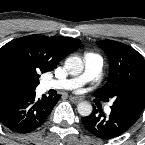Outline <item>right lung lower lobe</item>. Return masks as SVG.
I'll use <instances>...</instances> for the list:
<instances>
[{
    "label": "right lung lower lobe",
    "mask_w": 145,
    "mask_h": 145,
    "mask_svg": "<svg viewBox=\"0 0 145 145\" xmlns=\"http://www.w3.org/2000/svg\"><path fill=\"white\" fill-rule=\"evenodd\" d=\"M59 98L43 95L36 101L31 93L0 99V121L14 132H31L47 119Z\"/></svg>",
    "instance_id": "1"
}]
</instances>
